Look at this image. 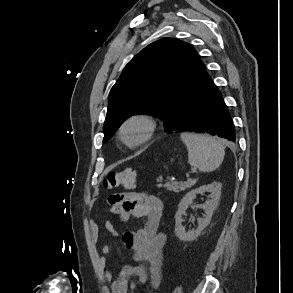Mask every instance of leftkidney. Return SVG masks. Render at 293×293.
Instances as JSON below:
<instances>
[{
    "instance_id": "obj_1",
    "label": "left kidney",
    "mask_w": 293,
    "mask_h": 293,
    "mask_svg": "<svg viewBox=\"0 0 293 293\" xmlns=\"http://www.w3.org/2000/svg\"><path fill=\"white\" fill-rule=\"evenodd\" d=\"M205 192L210 193L209 200L204 204L196 206L204 210L205 216L204 218H198V226L196 229L186 231L182 225L183 215L185 214L188 206L193 203L196 196ZM220 196L221 184L219 182H213L191 190L183 197L179 203L178 210L175 215V233L180 240L193 241L201 234V232L209 225L212 215L219 204Z\"/></svg>"
}]
</instances>
